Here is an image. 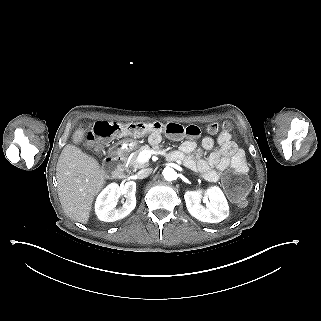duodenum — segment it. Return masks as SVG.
Wrapping results in <instances>:
<instances>
[{
    "instance_id": "duodenum-1",
    "label": "duodenum",
    "mask_w": 321,
    "mask_h": 321,
    "mask_svg": "<svg viewBox=\"0 0 321 321\" xmlns=\"http://www.w3.org/2000/svg\"><path fill=\"white\" fill-rule=\"evenodd\" d=\"M170 159H175L173 155L170 156ZM124 161L125 154L120 147H113L104 164V170L113 175H120L124 172Z\"/></svg>"
}]
</instances>
